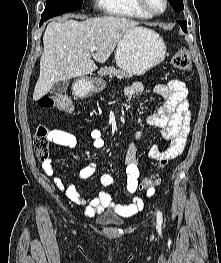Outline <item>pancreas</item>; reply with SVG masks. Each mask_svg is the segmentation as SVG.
I'll return each instance as SVG.
<instances>
[{"instance_id": "cf45deb5", "label": "pancreas", "mask_w": 221, "mask_h": 263, "mask_svg": "<svg viewBox=\"0 0 221 263\" xmlns=\"http://www.w3.org/2000/svg\"><path fill=\"white\" fill-rule=\"evenodd\" d=\"M98 74L102 76H109V77H117L119 79H129L132 75L126 71L121 69H116L115 67H103L99 70Z\"/></svg>"}]
</instances>
